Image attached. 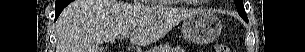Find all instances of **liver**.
I'll return each mask as SVG.
<instances>
[{
  "mask_svg": "<svg viewBox=\"0 0 305 52\" xmlns=\"http://www.w3.org/2000/svg\"><path fill=\"white\" fill-rule=\"evenodd\" d=\"M193 10L156 5H131L116 0H75L56 23V52H103L99 45L114 43L121 35L149 45L164 37Z\"/></svg>",
  "mask_w": 305,
  "mask_h": 52,
  "instance_id": "obj_1",
  "label": "liver"
}]
</instances>
